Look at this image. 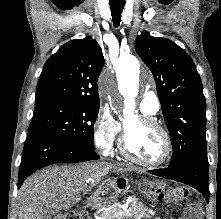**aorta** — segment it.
<instances>
[{"label":"aorta","instance_id":"obj_1","mask_svg":"<svg viewBox=\"0 0 221 219\" xmlns=\"http://www.w3.org/2000/svg\"><path fill=\"white\" fill-rule=\"evenodd\" d=\"M118 79V87L121 94L124 96L125 117H132L134 113V96L137 93V75L140 69V63L134 56L121 58L114 66ZM102 90L105 95L113 99L115 95V88L110 76L103 78Z\"/></svg>","mask_w":221,"mask_h":219}]
</instances>
